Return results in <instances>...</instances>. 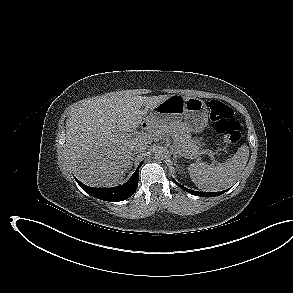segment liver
<instances>
[{
	"label": "liver",
	"instance_id": "obj_1",
	"mask_svg": "<svg viewBox=\"0 0 293 293\" xmlns=\"http://www.w3.org/2000/svg\"><path fill=\"white\" fill-rule=\"evenodd\" d=\"M170 96L108 93L74 109L66 121L65 154L80 181L93 187L120 184L132 165L135 146H148L153 138L142 134L132 137L130 132L144 121L150 125L148 110Z\"/></svg>",
	"mask_w": 293,
	"mask_h": 293
}]
</instances>
